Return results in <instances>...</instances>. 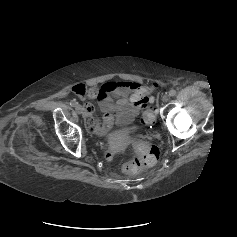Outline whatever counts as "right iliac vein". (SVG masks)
<instances>
[{
    "label": "right iliac vein",
    "instance_id": "1",
    "mask_svg": "<svg viewBox=\"0 0 237 237\" xmlns=\"http://www.w3.org/2000/svg\"><path fill=\"white\" fill-rule=\"evenodd\" d=\"M76 111L78 114H82L83 113V107L81 105H77L76 106Z\"/></svg>",
    "mask_w": 237,
    "mask_h": 237
}]
</instances>
